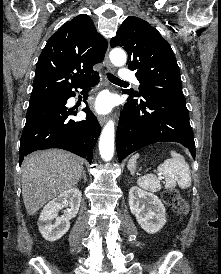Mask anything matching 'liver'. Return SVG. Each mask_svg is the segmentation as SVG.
Returning a JSON list of instances; mask_svg holds the SVG:
<instances>
[{"label":"liver","instance_id":"6515ba94","mask_svg":"<svg viewBox=\"0 0 221 274\" xmlns=\"http://www.w3.org/2000/svg\"><path fill=\"white\" fill-rule=\"evenodd\" d=\"M83 173V160L59 149L37 151L22 163V197L29 215L72 189Z\"/></svg>","mask_w":221,"mask_h":274}]
</instances>
